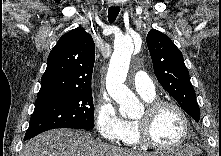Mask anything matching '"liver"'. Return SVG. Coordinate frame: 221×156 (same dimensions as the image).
<instances>
[{
  "label": "liver",
  "instance_id": "6515ba94",
  "mask_svg": "<svg viewBox=\"0 0 221 156\" xmlns=\"http://www.w3.org/2000/svg\"><path fill=\"white\" fill-rule=\"evenodd\" d=\"M183 152V155H193L199 150L185 147ZM22 156H151V154L103 144L83 131L55 129L29 140L24 146Z\"/></svg>",
  "mask_w": 221,
  "mask_h": 156
}]
</instances>
